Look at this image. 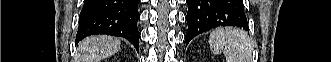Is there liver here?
Here are the masks:
<instances>
[{
	"label": "liver",
	"mask_w": 331,
	"mask_h": 62,
	"mask_svg": "<svg viewBox=\"0 0 331 62\" xmlns=\"http://www.w3.org/2000/svg\"><path fill=\"white\" fill-rule=\"evenodd\" d=\"M120 40L112 36H90L82 40L77 48L79 62H99L115 54Z\"/></svg>",
	"instance_id": "1"
}]
</instances>
